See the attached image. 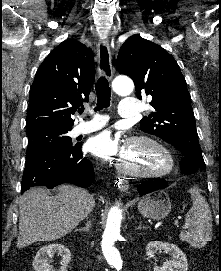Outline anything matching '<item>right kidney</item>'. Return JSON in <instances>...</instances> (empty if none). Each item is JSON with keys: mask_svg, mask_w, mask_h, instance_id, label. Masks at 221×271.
<instances>
[{"mask_svg": "<svg viewBox=\"0 0 221 271\" xmlns=\"http://www.w3.org/2000/svg\"><path fill=\"white\" fill-rule=\"evenodd\" d=\"M54 253L61 255L60 267L55 269L52 263L51 257H54ZM72 253L69 247H65L62 243H48L38 249L33 259V269L35 271H68L67 267L71 261Z\"/></svg>", "mask_w": 221, "mask_h": 271, "instance_id": "ca27d5eb", "label": "right kidney"}]
</instances>
